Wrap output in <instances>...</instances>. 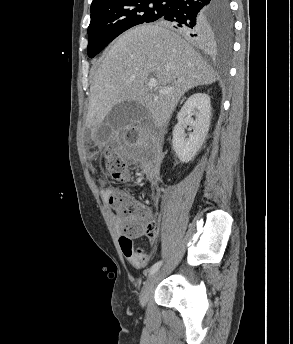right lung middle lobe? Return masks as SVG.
Segmentation results:
<instances>
[{"instance_id": "right-lung-middle-lobe-1", "label": "right lung middle lobe", "mask_w": 293, "mask_h": 344, "mask_svg": "<svg viewBox=\"0 0 293 344\" xmlns=\"http://www.w3.org/2000/svg\"><path fill=\"white\" fill-rule=\"evenodd\" d=\"M169 0H117L99 5L91 12L88 27V49L90 58L96 56L112 40L127 29L142 23L162 18L168 9ZM215 44L230 47L232 19L228 0H216L214 5Z\"/></svg>"}]
</instances>
